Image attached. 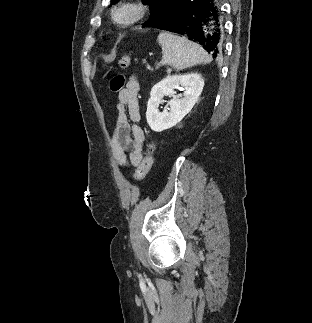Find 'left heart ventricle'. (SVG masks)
Listing matches in <instances>:
<instances>
[{
  "label": "left heart ventricle",
  "mask_w": 312,
  "mask_h": 323,
  "mask_svg": "<svg viewBox=\"0 0 312 323\" xmlns=\"http://www.w3.org/2000/svg\"><path fill=\"white\" fill-rule=\"evenodd\" d=\"M120 12L121 14H133L134 9L133 7H121Z\"/></svg>",
  "instance_id": "b2bd125f"
}]
</instances>
